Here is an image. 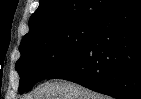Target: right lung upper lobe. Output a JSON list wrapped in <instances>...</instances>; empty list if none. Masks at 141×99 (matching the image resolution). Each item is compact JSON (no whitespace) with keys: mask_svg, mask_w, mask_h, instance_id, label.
<instances>
[{"mask_svg":"<svg viewBox=\"0 0 141 99\" xmlns=\"http://www.w3.org/2000/svg\"><path fill=\"white\" fill-rule=\"evenodd\" d=\"M130 0H40L22 42L80 21H100Z\"/></svg>","mask_w":141,"mask_h":99,"instance_id":"cb5924a9","label":"right lung upper lobe"}]
</instances>
